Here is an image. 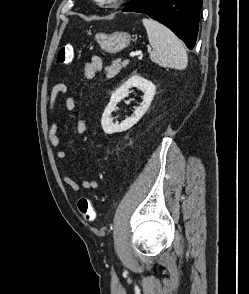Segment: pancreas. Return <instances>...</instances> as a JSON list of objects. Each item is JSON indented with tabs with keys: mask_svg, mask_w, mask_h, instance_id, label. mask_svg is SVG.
Listing matches in <instances>:
<instances>
[{
	"mask_svg": "<svg viewBox=\"0 0 249 294\" xmlns=\"http://www.w3.org/2000/svg\"><path fill=\"white\" fill-rule=\"evenodd\" d=\"M129 63V60L122 61L120 59H116L112 62L111 66H107L105 68V73L107 78L115 77L122 68H125Z\"/></svg>",
	"mask_w": 249,
	"mask_h": 294,
	"instance_id": "1",
	"label": "pancreas"
}]
</instances>
